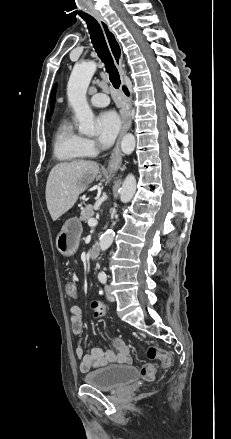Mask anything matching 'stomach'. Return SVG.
Segmentation results:
<instances>
[{"mask_svg": "<svg viewBox=\"0 0 231 439\" xmlns=\"http://www.w3.org/2000/svg\"><path fill=\"white\" fill-rule=\"evenodd\" d=\"M82 225L76 218L67 220L61 228L57 238L56 247L63 256H72L78 250Z\"/></svg>", "mask_w": 231, "mask_h": 439, "instance_id": "obj_1", "label": "stomach"}]
</instances>
